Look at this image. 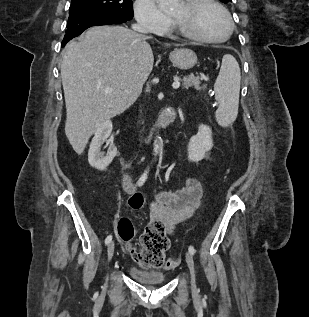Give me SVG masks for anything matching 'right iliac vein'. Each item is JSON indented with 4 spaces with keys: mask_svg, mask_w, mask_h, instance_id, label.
<instances>
[{
    "mask_svg": "<svg viewBox=\"0 0 309 317\" xmlns=\"http://www.w3.org/2000/svg\"><path fill=\"white\" fill-rule=\"evenodd\" d=\"M114 249H115L114 242H110L109 245H108V248H107L108 261H110L112 259L113 254H114Z\"/></svg>",
    "mask_w": 309,
    "mask_h": 317,
    "instance_id": "obj_1",
    "label": "right iliac vein"
}]
</instances>
